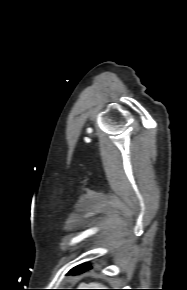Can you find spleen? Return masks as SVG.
Returning <instances> with one entry per match:
<instances>
[{
  "mask_svg": "<svg viewBox=\"0 0 187 290\" xmlns=\"http://www.w3.org/2000/svg\"><path fill=\"white\" fill-rule=\"evenodd\" d=\"M92 285H93V286H96V287H97V286H101V285H99V284H92Z\"/></svg>",
  "mask_w": 187,
  "mask_h": 290,
  "instance_id": "obj_1",
  "label": "spleen"
}]
</instances>
